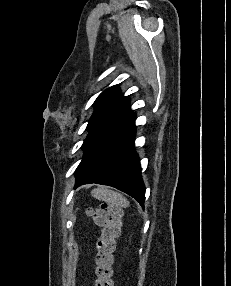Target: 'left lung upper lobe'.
Wrapping results in <instances>:
<instances>
[{
  "label": "left lung upper lobe",
  "instance_id": "5c2ea615",
  "mask_svg": "<svg viewBox=\"0 0 231 286\" xmlns=\"http://www.w3.org/2000/svg\"><path fill=\"white\" fill-rule=\"evenodd\" d=\"M128 97L120 94L117 86H112L103 91L96 99L95 111L89 120L87 129L93 128L97 123L125 103Z\"/></svg>",
  "mask_w": 231,
  "mask_h": 286
}]
</instances>
